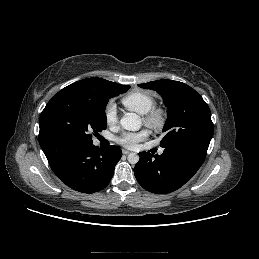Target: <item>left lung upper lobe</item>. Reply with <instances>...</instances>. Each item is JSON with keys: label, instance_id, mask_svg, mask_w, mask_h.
Here are the masks:
<instances>
[{"label": "left lung upper lobe", "instance_id": "5c2ea615", "mask_svg": "<svg viewBox=\"0 0 259 259\" xmlns=\"http://www.w3.org/2000/svg\"><path fill=\"white\" fill-rule=\"evenodd\" d=\"M157 91L167 106L166 135L161 147L193 145L208 149L214 132L211 112L201 95L190 86L173 80L138 85Z\"/></svg>", "mask_w": 259, "mask_h": 259}]
</instances>
